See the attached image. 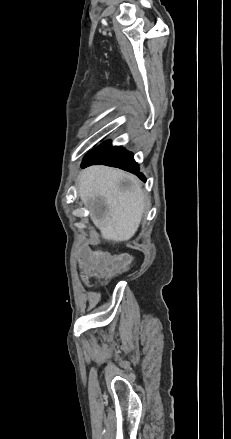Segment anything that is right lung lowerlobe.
Instances as JSON below:
<instances>
[{"mask_svg": "<svg viewBox=\"0 0 231 439\" xmlns=\"http://www.w3.org/2000/svg\"><path fill=\"white\" fill-rule=\"evenodd\" d=\"M94 164L118 167L120 169L137 174L139 178L145 181V177L141 172H139V167L133 158V154L126 151L123 147L112 146L111 141L103 142L91 150L84 157L81 167L85 168Z\"/></svg>", "mask_w": 231, "mask_h": 439, "instance_id": "obj_1", "label": "right lung lower lobe"}]
</instances>
